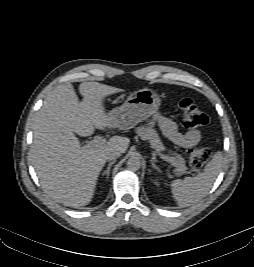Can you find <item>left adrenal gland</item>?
Segmentation results:
<instances>
[{
    "label": "left adrenal gland",
    "mask_w": 254,
    "mask_h": 267,
    "mask_svg": "<svg viewBox=\"0 0 254 267\" xmlns=\"http://www.w3.org/2000/svg\"><path fill=\"white\" fill-rule=\"evenodd\" d=\"M150 161H151L152 168H154V169L159 171V168H158V166H156L154 160L151 159Z\"/></svg>",
    "instance_id": "obj_1"
}]
</instances>
